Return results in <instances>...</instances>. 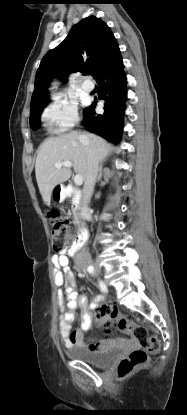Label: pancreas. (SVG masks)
I'll use <instances>...</instances> for the list:
<instances>
[{
    "instance_id": "obj_1",
    "label": "pancreas",
    "mask_w": 187,
    "mask_h": 415,
    "mask_svg": "<svg viewBox=\"0 0 187 415\" xmlns=\"http://www.w3.org/2000/svg\"><path fill=\"white\" fill-rule=\"evenodd\" d=\"M74 223H75V224H77V223H78V220H77V215H76V214H74Z\"/></svg>"
}]
</instances>
